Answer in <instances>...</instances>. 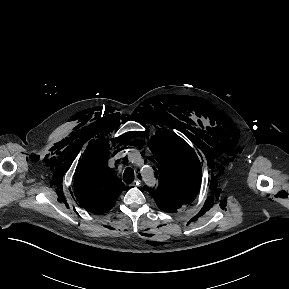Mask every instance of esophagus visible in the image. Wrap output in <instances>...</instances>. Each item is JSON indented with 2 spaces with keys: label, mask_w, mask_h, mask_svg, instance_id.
Segmentation results:
<instances>
[{
  "label": "esophagus",
  "mask_w": 289,
  "mask_h": 289,
  "mask_svg": "<svg viewBox=\"0 0 289 289\" xmlns=\"http://www.w3.org/2000/svg\"><path fill=\"white\" fill-rule=\"evenodd\" d=\"M140 179L137 177L135 182L133 184H131V186H137L138 184H140Z\"/></svg>",
  "instance_id": "1"
}]
</instances>
